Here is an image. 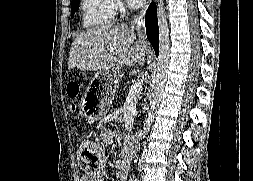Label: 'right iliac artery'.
I'll return each mask as SVG.
<instances>
[{
  "label": "right iliac artery",
  "instance_id": "obj_1",
  "mask_svg": "<svg viewBox=\"0 0 253 181\" xmlns=\"http://www.w3.org/2000/svg\"><path fill=\"white\" fill-rule=\"evenodd\" d=\"M138 166H139V170H141L142 169L141 161L138 162Z\"/></svg>",
  "mask_w": 253,
  "mask_h": 181
}]
</instances>
